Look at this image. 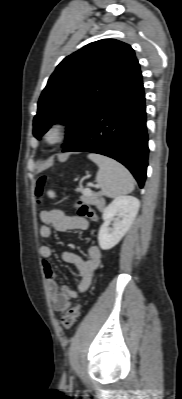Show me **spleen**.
<instances>
[{
    "mask_svg": "<svg viewBox=\"0 0 182 399\" xmlns=\"http://www.w3.org/2000/svg\"><path fill=\"white\" fill-rule=\"evenodd\" d=\"M88 158L96 163L99 170L96 181L107 197H117L128 194L134 189V178L131 173L117 161L99 154H89ZM54 197L53 192H49Z\"/></svg>",
    "mask_w": 182,
    "mask_h": 399,
    "instance_id": "1",
    "label": "spleen"
}]
</instances>
